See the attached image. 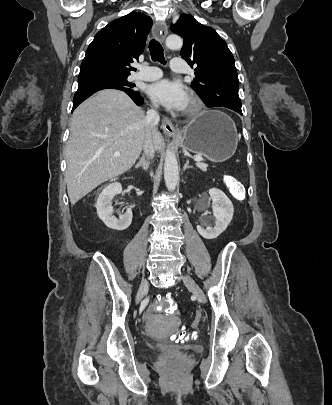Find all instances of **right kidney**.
Instances as JSON below:
<instances>
[{"label": "right kidney", "mask_w": 332, "mask_h": 405, "mask_svg": "<svg viewBox=\"0 0 332 405\" xmlns=\"http://www.w3.org/2000/svg\"><path fill=\"white\" fill-rule=\"evenodd\" d=\"M122 193V186L119 182H113L105 187L99 195L96 202V210L98 217L110 229L117 231L126 230L132 222V210L127 208L124 214L116 218L113 213L112 199Z\"/></svg>", "instance_id": "1"}]
</instances>
